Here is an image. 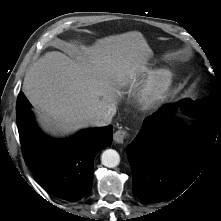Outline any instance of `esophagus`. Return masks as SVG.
I'll list each match as a JSON object with an SVG mask.
<instances>
[{"instance_id": "1", "label": "esophagus", "mask_w": 221, "mask_h": 221, "mask_svg": "<svg viewBox=\"0 0 221 221\" xmlns=\"http://www.w3.org/2000/svg\"><path fill=\"white\" fill-rule=\"evenodd\" d=\"M128 137V132L124 129L117 130L113 135V140L116 143H123L124 140Z\"/></svg>"}]
</instances>
